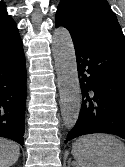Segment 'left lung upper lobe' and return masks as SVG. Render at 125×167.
<instances>
[{
  "label": "left lung upper lobe",
  "mask_w": 125,
  "mask_h": 167,
  "mask_svg": "<svg viewBox=\"0 0 125 167\" xmlns=\"http://www.w3.org/2000/svg\"><path fill=\"white\" fill-rule=\"evenodd\" d=\"M55 20L67 28L72 37L110 36L125 44L121 27L107 0H61Z\"/></svg>",
  "instance_id": "5c2ea615"
}]
</instances>
